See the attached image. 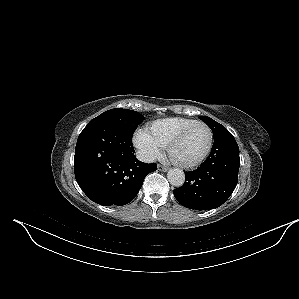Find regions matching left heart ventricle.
Segmentation results:
<instances>
[{
	"label": "left heart ventricle",
	"instance_id": "b2bd125f",
	"mask_svg": "<svg viewBox=\"0 0 299 299\" xmlns=\"http://www.w3.org/2000/svg\"><path fill=\"white\" fill-rule=\"evenodd\" d=\"M208 141V130L204 126H196L173 148L172 155L181 162L194 161L203 154Z\"/></svg>",
	"mask_w": 299,
	"mask_h": 299
}]
</instances>
